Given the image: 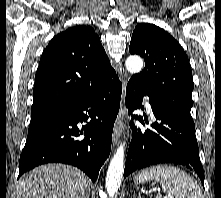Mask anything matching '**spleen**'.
I'll list each match as a JSON object with an SVG mask.
<instances>
[{"instance_id":"obj_1","label":"spleen","mask_w":221,"mask_h":198,"mask_svg":"<svg viewBox=\"0 0 221 198\" xmlns=\"http://www.w3.org/2000/svg\"><path fill=\"white\" fill-rule=\"evenodd\" d=\"M160 183L162 189L172 198H203L199 185L178 167L157 165L141 171L134 177L137 185L144 182ZM161 198V197H158Z\"/></svg>"}]
</instances>
